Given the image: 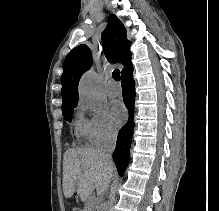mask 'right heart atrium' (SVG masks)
Wrapping results in <instances>:
<instances>
[{
    "label": "right heart atrium",
    "instance_id": "obj_1",
    "mask_svg": "<svg viewBox=\"0 0 219 211\" xmlns=\"http://www.w3.org/2000/svg\"><path fill=\"white\" fill-rule=\"evenodd\" d=\"M78 109L82 115V133L93 146L105 145L116 139L118 129L105 108H92L80 103Z\"/></svg>",
    "mask_w": 219,
    "mask_h": 211
}]
</instances>
